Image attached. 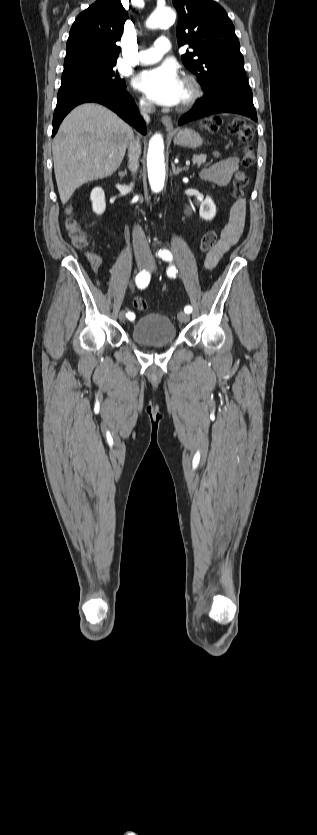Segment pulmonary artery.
Instances as JSON below:
<instances>
[{
	"label": "pulmonary artery",
	"mask_w": 317,
	"mask_h": 835,
	"mask_svg": "<svg viewBox=\"0 0 317 835\" xmlns=\"http://www.w3.org/2000/svg\"><path fill=\"white\" fill-rule=\"evenodd\" d=\"M170 49L171 44L169 39L165 36H161L156 39L151 48L140 50L137 60L141 64H151L159 61Z\"/></svg>",
	"instance_id": "obj_1"
}]
</instances>
